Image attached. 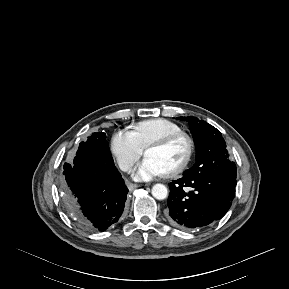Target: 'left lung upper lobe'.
I'll list each match as a JSON object with an SVG mask.
<instances>
[{"label":"left lung upper lobe","mask_w":289,"mask_h":289,"mask_svg":"<svg viewBox=\"0 0 289 289\" xmlns=\"http://www.w3.org/2000/svg\"><path fill=\"white\" fill-rule=\"evenodd\" d=\"M178 119L189 122L196 146L197 161L184 174L197 175L222 171L236 179V165L229 161V154L220 131L196 117H178Z\"/></svg>","instance_id":"left-lung-upper-lobe-1"}]
</instances>
